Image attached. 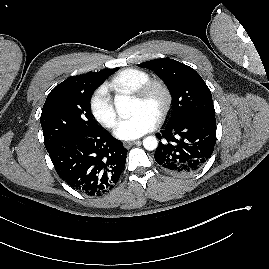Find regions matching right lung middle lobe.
Listing matches in <instances>:
<instances>
[{"instance_id":"obj_1","label":"right lung middle lobe","mask_w":269,"mask_h":269,"mask_svg":"<svg viewBox=\"0 0 269 269\" xmlns=\"http://www.w3.org/2000/svg\"><path fill=\"white\" fill-rule=\"evenodd\" d=\"M117 70L93 72L84 79L63 81L48 94L40 117L47 150L63 138L102 129L91 115L90 99L95 89Z\"/></svg>"}]
</instances>
